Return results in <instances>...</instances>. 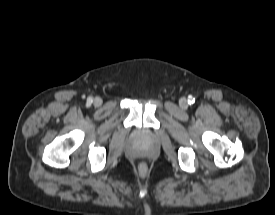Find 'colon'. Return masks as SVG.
Returning <instances> with one entry per match:
<instances>
[{"instance_id": "obj_1", "label": "colon", "mask_w": 275, "mask_h": 215, "mask_svg": "<svg viewBox=\"0 0 275 215\" xmlns=\"http://www.w3.org/2000/svg\"><path fill=\"white\" fill-rule=\"evenodd\" d=\"M138 169L141 173H144L147 171V165L145 163H140Z\"/></svg>"}]
</instances>
